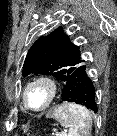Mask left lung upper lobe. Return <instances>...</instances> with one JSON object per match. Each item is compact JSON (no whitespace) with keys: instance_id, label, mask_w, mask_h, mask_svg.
I'll list each match as a JSON object with an SVG mask.
<instances>
[{"instance_id":"obj_1","label":"left lung upper lobe","mask_w":117,"mask_h":136,"mask_svg":"<svg viewBox=\"0 0 117 136\" xmlns=\"http://www.w3.org/2000/svg\"><path fill=\"white\" fill-rule=\"evenodd\" d=\"M79 48L60 26L32 45L26 56L23 76L54 75L64 85L76 67L84 62Z\"/></svg>"}]
</instances>
